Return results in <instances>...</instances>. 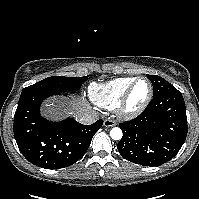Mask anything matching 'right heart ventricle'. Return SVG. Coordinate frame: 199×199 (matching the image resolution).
Segmentation results:
<instances>
[{
    "instance_id": "right-heart-ventricle-1",
    "label": "right heart ventricle",
    "mask_w": 199,
    "mask_h": 199,
    "mask_svg": "<svg viewBox=\"0 0 199 199\" xmlns=\"http://www.w3.org/2000/svg\"><path fill=\"white\" fill-rule=\"evenodd\" d=\"M133 80L134 78L131 77H122L105 83H92L89 86V97L101 108H113L121 100Z\"/></svg>"
}]
</instances>
